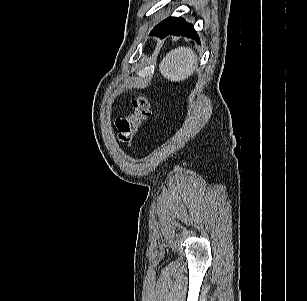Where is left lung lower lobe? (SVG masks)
<instances>
[{
    "label": "left lung lower lobe",
    "mask_w": 307,
    "mask_h": 301,
    "mask_svg": "<svg viewBox=\"0 0 307 301\" xmlns=\"http://www.w3.org/2000/svg\"><path fill=\"white\" fill-rule=\"evenodd\" d=\"M170 34L193 38L200 43L193 25L186 23L184 19L180 17H168L158 23L150 32V35L157 36L161 39Z\"/></svg>",
    "instance_id": "left-lung-lower-lobe-1"
}]
</instances>
